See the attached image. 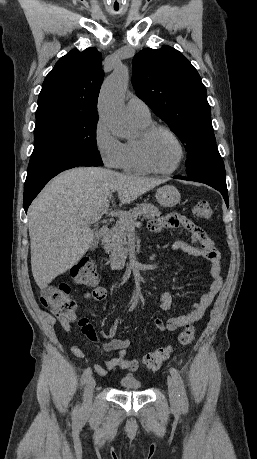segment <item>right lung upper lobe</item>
Returning <instances> with one entry per match:
<instances>
[{
	"label": "right lung upper lobe",
	"instance_id": "right-lung-upper-lobe-1",
	"mask_svg": "<svg viewBox=\"0 0 257 459\" xmlns=\"http://www.w3.org/2000/svg\"><path fill=\"white\" fill-rule=\"evenodd\" d=\"M101 67L102 56L95 48L74 49L61 57L43 82L36 112L60 109L98 116Z\"/></svg>",
	"mask_w": 257,
	"mask_h": 459
}]
</instances>
